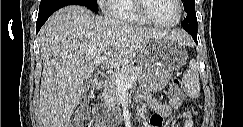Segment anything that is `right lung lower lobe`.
I'll return each mask as SVG.
<instances>
[{
  "label": "right lung lower lobe",
  "mask_w": 243,
  "mask_h": 127,
  "mask_svg": "<svg viewBox=\"0 0 243 127\" xmlns=\"http://www.w3.org/2000/svg\"><path fill=\"white\" fill-rule=\"evenodd\" d=\"M68 5H82L77 0H55L39 7L38 19L36 22V33L39 32L42 25L46 22L49 16L58 9ZM83 6V5H82Z\"/></svg>",
  "instance_id": "1"
}]
</instances>
